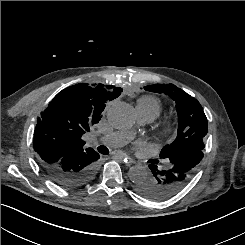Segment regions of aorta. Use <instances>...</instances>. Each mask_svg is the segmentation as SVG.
<instances>
[{
    "instance_id": "aorta-1",
    "label": "aorta",
    "mask_w": 245,
    "mask_h": 245,
    "mask_svg": "<svg viewBox=\"0 0 245 245\" xmlns=\"http://www.w3.org/2000/svg\"><path fill=\"white\" fill-rule=\"evenodd\" d=\"M107 119L117 129L129 128L135 123L134 108L124 102L113 103L107 109ZM128 175L132 182L138 183L150 177V171L143 166L137 165L130 168Z\"/></svg>"
}]
</instances>
